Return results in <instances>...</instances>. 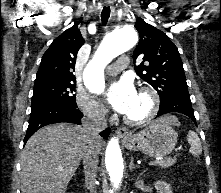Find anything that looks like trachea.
<instances>
[{
	"mask_svg": "<svg viewBox=\"0 0 221 193\" xmlns=\"http://www.w3.org/2000/svg\"><path fill=\"white\" fill-rule=\"evenodd\" d=\"M109 17H110V7L104 6V8L101 12V20L104 25L107 23Z\"/></svg>",
	"mask_w": 221,
	"mask_h": 193,
	"instance_id": "obj_1",
	"label": "trachea"
}]
</instances>
